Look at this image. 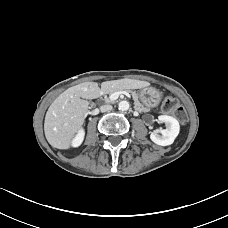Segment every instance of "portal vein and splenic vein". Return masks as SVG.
Listing matches in <instances>:
<instances>
[{
  "mask_svg": "<svg viewBox=\"0 0 228 228\" xmlns=\"http://www.w3.org/2000/svg\"><path fill=\"white\" fill-rule=\"evenodd\" d=\"M120 94H124V95H126V96H128L129 97V93L128 92H126V91H121V92H115V93H113V94H111V96L109 97L110 98V100H116L118 97H119V95Z\"/></svg>",
  "mask_w": 228,
  "mask_h": 228,
  "instance_id": "obj_1",
  "label": "portal vein and splenic vein"
}]
</instances>
